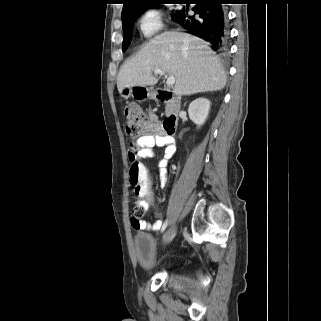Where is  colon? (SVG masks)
Here are the masks:
<instances>
[{"mask_svg": "<svg viewBox=\"0 0 321 321\" xmlns=\"http://www.w3.org/2000/svg\"><path fill=\"white\" fill-rule=\"evenodd\" d=\"M152 127V121L143 110L136 104H129L125 108V130L131 138H137L141 134L149 131ZM129 152L131 153L130 180L135 188L136 198H146L149 207L153 206L155 197L150 191V181L148 172L145 166L137 159L136 145H130ZM157 211L161 210L160 206L156 207ZM143 211L135 206L130 216V220L138 223Z\"/></svg>", "mask_w": 321, "mask_h": 321, "instance_id": "colon-1", "label": "colon"}]
</instances>
